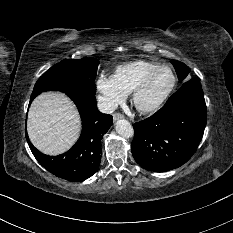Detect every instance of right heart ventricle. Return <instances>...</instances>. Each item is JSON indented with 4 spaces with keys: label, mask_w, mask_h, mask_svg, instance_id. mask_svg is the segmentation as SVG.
<instances>
[{
    "label": "right heart ventricle",
    "mask_w": 233,
    "mask_h": 233,
    "mask_svg": "<svg viewBox=\"0 0 233 233\" xmlns=\"http://www.w3.org/2000/svg\"><path fill=\"white\" fill-rule=\"evenodd\" d=\"M159 64L138 60L120 65L116 68L114 78L119 86L127 93H132L142 79Z\"/></svg>",
    "instance_id": "1"
}]
</instances>
